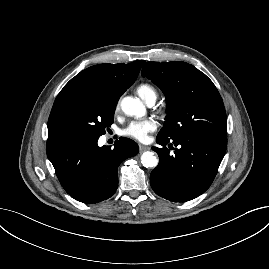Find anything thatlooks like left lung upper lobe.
Listing matches in <instances>:
<instances>
[{
    "label": "left lung upper lobe",
    "mask_w": 269,
    "mask_h": 269,
    "mask_svg": "<svg viewBox=\"0 0 269 269\" xmlns=\"http://www.w3.org/2000/svg\"><path fill=\"white\" fill-rule=\"evenodd\" d=\"M142 76L167 100V117L158 139L173 141L195 134L226 137V112L213 82L185 62H147Z\"/></svg>",
    "instance_id": "left-lung-upper-lobe-1"
}]
</instances>
